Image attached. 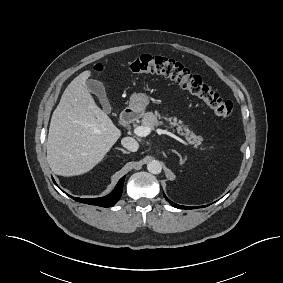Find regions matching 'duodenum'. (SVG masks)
Returning <instances> with one entry per match:
<instances>
[{
	"label": "duodenum",
	"instance_id": "410a0bca",
	"mask_svg": "<svg viewBox=\"0 0 283 283\" xmlns=\"http://www.w3.org/2000/svg\"><path fill=\"white\" fill-rule=\"evenodd\" d=\"M138 116V111L134 108H128L125 111H123L119 117V124L121 126L128 125L132 123Z\"/></svg>",
	"mask_w": 283,
	"mask_h": 283
}]
</instances>
